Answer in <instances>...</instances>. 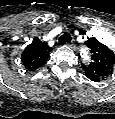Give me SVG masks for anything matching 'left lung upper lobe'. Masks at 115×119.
<instances>
[{
	"mask_svg": "<svg viewBox=\"0 0 115 119\" xmlns=\"http://www.w3.org/2000/svg\"><path fill=\"white\" fill-rule=\"evenodd\" d=\"M86 45L92 53V62L84 65L83 69L86 75H92L103 79L112 74L115 64V54L107 46L99 42L96 38H88Z\"/></svg>",
	"mask_w": 115,
	"mask_h": 119,
	"instance_id": "left-lung-upper-lobe-1",
	"label": "left lung upper lobe"
}]
</instances>
